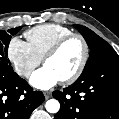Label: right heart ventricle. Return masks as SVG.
Instances as JSON below:
<instances>
[{"instance_id": "right-heart-ventricle-1", "label": "right heart ventricle", "mask_w": 119, "mask_h": 119, "mask_svg": "<svg viewBox=\"0 0 119 119\" xmlns=\"http://www.w3.org/2000/svg\"><path fill=\"white\" fill-rule=\"evenodd\" d=\"M72 33L71 29L59 24H43L27 31L25 37L32 51L42 60L55 43Z\"/></svg>"}]
</instances>
